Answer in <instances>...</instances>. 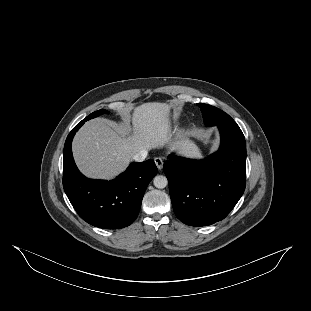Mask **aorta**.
Instances as JSON below:
<instances>
[{
  "label": "aorta",
  "mask_w": 311,
  "mask_h": 311,
  "mask_svg": "<svg viewBox=\"0 0 311 311\" xmlns=\"http://www.w3.org/2000/svg\"><path fill=\"white\" fill-rule=\"evenodd\" d=\"M153 184L158 189H163L167 186L168 180L163 175H157L153 178Z\"/></svg>",
  "instance_id": "1"
}]
</instances>
